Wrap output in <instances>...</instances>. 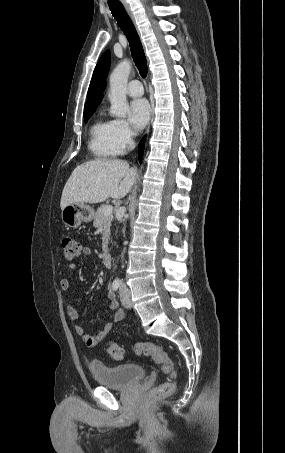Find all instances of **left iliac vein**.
I'll return each mask as SVG.
<instances>
[{
	"label": "left iliac vein",
	"instance_id": "obj_1",
	"mask_svg": "<svg viewBox=\"0 0 285 453\" xmlns=\"http://www.w3.org/2000/svg\"><path fill=\"white\" fill-rule=\"evenodd\" d=\"M120 299L124 307L131 308V297L129 290L125 284H122L120 287Z\"/></svg>",
	"mask_w": 285,
	"mask_h": 453
}]
</instances>
